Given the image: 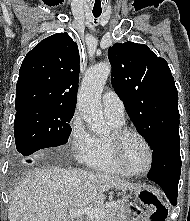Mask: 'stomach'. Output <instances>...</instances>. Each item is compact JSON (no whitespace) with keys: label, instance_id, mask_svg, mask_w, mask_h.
Here are the masks:
<instances>
[{"label":"stomach","instance_id":"stomach-1","mask_svg":"<svg viewBox=\"0 0 190 221\" xmlns=\"http://www.w3.org/2000/svg\"><path fill=\"white\" fill-rule=\"evenodd\" d=\"M135 200L125 201V213L130 217H170V212L158 192L148 186L131 191ZM121 221H169L168 218H121Z\"/></svg>","mask_w":190,"mask_h":221}]
</instances>
